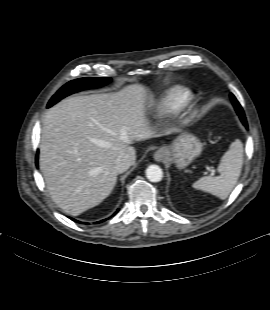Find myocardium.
<instances>
[{
    "instance_id": "myocardium-1",
    "label": "myocardium",
    "mask_w": 270,
    "mask_h": 310,
    "mask_svg": "<svg viewBox=\"0 0 270 310\" xmlns=\"http://www.w3.org/2000/svg\"><path fill=\"white\" fill-rule=\"evenodd\" d=\"M192 112V109H189L188 111H186L182 117H181V122H184L187 118V116Z\"/></svg>"
}]
</instances>
